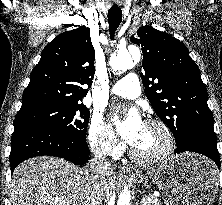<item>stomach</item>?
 Wrapping results in <instances>:
<instances>
[{
	"instance_id": "stomach-1",
	"label": "stomach",
	"mask_w": 222,
	"mask_h": 205,
	"mask_svg": "<svg viewBox=\"0 0 222 205\" xmlns=\"http://www.w3.org/2000/svg\"><path fill=\"white\" fill-rule=\"evenodd\" d=\"M136 180L155 183L166 205H210L218 184L214 165L192 153L171 156Z\"/></svg>"
}]
</instances>
